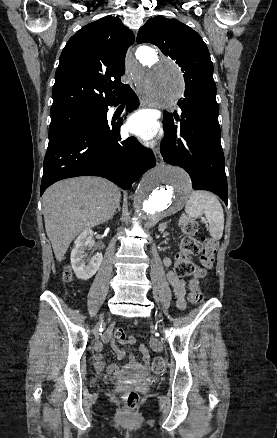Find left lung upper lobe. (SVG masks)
I'll return each mask as SVG.
<instances>
[{
    "label": "left lung upper lobe",
    "instance_id": "obj_1",
    "mask_svg": "<svg viewBox=\"0 0 277 438\" xmlns=\"http://www.w3.org/2000/svg\"><path fill=\"white\" fill-rule=\"evenodd\" d=\"M152 43L181 67L185 99L216 95L213 64L205 42L189 26L163 16L150 18L137 35V43ZM172 115L164 113V116Z\"/></svg>",
    "mask_w": 277,
    "mask_h": 438
}]
</instances>
